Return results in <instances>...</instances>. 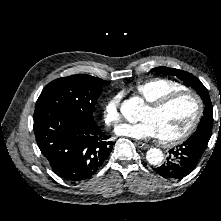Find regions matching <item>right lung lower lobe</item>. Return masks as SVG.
I'll use <instances>...</instances> for the list:
<instances>
[{"mask_svg":"<svg viewBox=\"0 0 221 221\" xmlns=\"http://www.w3.org/2000/svg\"><path fill=\"white\" fill-rule=\"evenodd\" d=\"M34 133L52 170L68 181L92 177L114 145L96 123H85L45 105L35 107Z\"/></svg>","mask_w":221,"mask_h":221,"instance_id":"1","label":"right lung lower lobe"}]
</instances>
